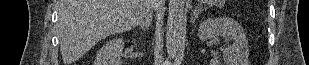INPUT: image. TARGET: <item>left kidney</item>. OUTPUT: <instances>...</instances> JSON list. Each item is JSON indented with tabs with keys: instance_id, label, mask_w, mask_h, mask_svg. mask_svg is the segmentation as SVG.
Listing matches in <instances>:
<instances>
[{
	"instance_id": "obj_1",
	"label": "left kidney",
	"mask_w": 309,
	"mask_h": 65,
	"mask_svg": "<svg viewBox=\"0 0 309 65\" xmlns=\"http://www.w3.org/2000/svg\"><path fill=\"white\" fill-rule=\"evenodd\" d=\"M232 41L226 49L223 65H248L249 48L246 33L242 26L230 17L208 18L200 23L198 37L204 42L214 37ZM210 65H221L212 59Z\"/></svg>"
}]
</instances>
